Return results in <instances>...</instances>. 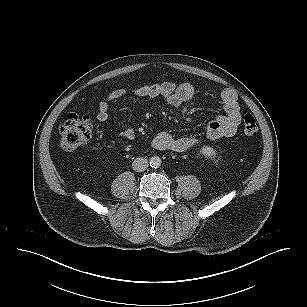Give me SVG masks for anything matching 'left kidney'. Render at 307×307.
I'll return each instance as SVG.
<instances>
[{"mask_svg":"<svg viewBox=\"0 0 307 307\" xmlns=\"http://www.w3.org/2000/svg\"><path fill=\"white\" fill-rule=\"evenodd\" d=\"M201 153L205 155L207 158H215L216 151L210 146H203L201 148Z\"/></svg>","mask_w":307,"mask_h":307,"instance_id":"5707ae66","label":"left kidney"}]
</instances>
